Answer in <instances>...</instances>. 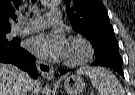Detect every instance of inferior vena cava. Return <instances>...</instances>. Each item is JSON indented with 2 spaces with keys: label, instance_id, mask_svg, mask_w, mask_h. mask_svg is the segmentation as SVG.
<instances>
[{
  "label": "inferior vena cava",
  "instance_id": "1",
  "mask_svg": "<svg viewBox=\"0 0 135 95\" xmlns=\"http://www.w3.org/2000/svg\"><path fill=\"white\" fill-rule=\"evenodd\" d=\"M28 90H30V87H29V86H27V91H28ZM26 94H27V93H26Z\"/></svg>",
  "mask_w": 135,
  "mask_h": 95
}]
</instances>
